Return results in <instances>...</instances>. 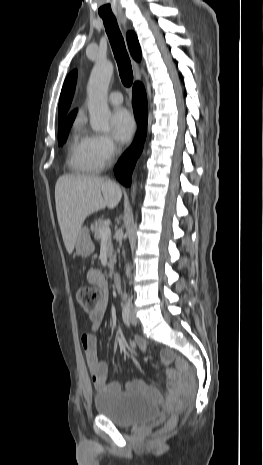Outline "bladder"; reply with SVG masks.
Wrapping results in <instances>:
<instances>
[{
    "label": "bladder",
    "instance_id": "31cf9c89",
    "mask_svg": "<svg viewBox=\"0 0 263 465\" xmlns=\"http://www.w3.org/2000/svg\"><path fill=\"white\" fill-rule=\"evenodd\" d=\"M94 406L98 414L121 427L148 422L158 414L157 405L143 394L112 388L96 394Z\"/></svg>",
    "mask_w": 263,
    "mask_h": 465
}]
</instances>
